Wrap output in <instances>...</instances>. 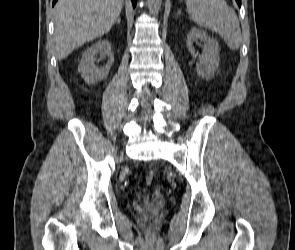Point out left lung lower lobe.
Wrapping results in <instances>:
<instances>
[{
	"instance_id": "0a47b994",
	"label": "left lung lower lobe",
	"mask_w": 295,
	"mask_h": 250,
	"mask_svg": "<svg viewBox=\"0 0 295 250\" xmlns=\"http://www.w3.org/2000/svg\"><path fill=\"white\" fill-rule=\"evenodd\" d=\"M236 2L238 3L239 7L241 6V0H236Z\"/></svg>"
}]
</instances>
